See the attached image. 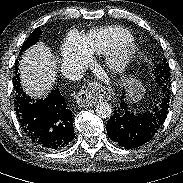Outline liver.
Wrapping results in <instances>:
<instances>
[{"label":"liver","mask_w":183,"mask_h":183,"mask_svg":"<svg viewBox=\"0 0 183 183\" xmlns=\"http://www.w3.org/2000/svg\"><path fill=\"white\" fill-rule=\"evenodd\" d=\"M20 77L24 91L31 97L44 95L55 80V60L42 42L29 48L20 63Z\"/></svg>","instance_id":"liver-1"}]
</instances>
